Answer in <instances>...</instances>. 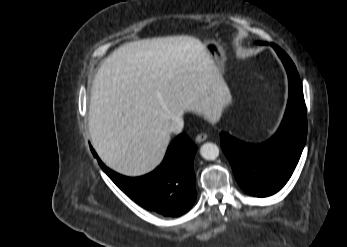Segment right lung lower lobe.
<instances>
[{
    "label": "right lung lower lobe",
    "instance_id": "obj_1",
    "mask_svg": "<svg viewBox=\"0 0 347 247\" xmlns=\"http://www.w3.org/2000/svg\"><path fill=\"white\" fill-rule=\"evenodd\" d=\"M93 155L110 179L143 208L164 216H180L196 200L194 155L197 147L182 133L168 147L161 165L151 173L130 178L117 174Z\"/></svg>",
    "mask_w": 347,
    "mask_h": 247
}]
</instances>
